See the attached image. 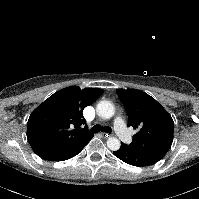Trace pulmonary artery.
Returning <instances> with one entry per match:
<instances>
[{"mask_svg":"<svg viewBox=\"0 0 199 199\" xmlns=\"http://www.w3.org/2000/svg\"><path fill=\"white\" fill-rule=\"evenodd\" d=\"M114 130L117 136L126 143L132 140L131 134L127 130L123 120L119 117L114 122Z\"/></svg>","mask_w":199,"mask_h":199,"instance_id":"obj_1","label":"pulmonary artery"}]
</instances>
